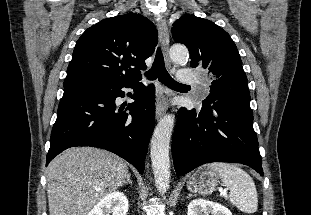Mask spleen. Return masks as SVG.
I'll return each instance as SVG.
<instances>
[{
  "label": "spleen",
  "instance_id": "3e777b00",
  "mask_svg": "<svg viewBox=\"0 0 311 215\" xmlns=\"http://www.w3.org/2000/svg\"><path fill=\"white\" fill-rule=\"evenodd\" d=\"M209 170L221 179L230 190L229 200L239 210L254 213L258 207V195L252 177L240 167L216 162L209 165Z\"/></svg>",
  "mask_w": 311,
  "mask_h": 215
}]
</instances>
